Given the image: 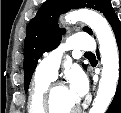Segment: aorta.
I'll return each mask as SVG.
<instances>
[{
	"mask_svg": "<svg viewBox=\"0 0 121 113\" xmlns=\"http://www.w3.org/2000/svg\"><path fill=\"white\" fill-rule=\"evenodd\" d=\"M69 23L85 22L96 34L100 45L102 77L99 90L89 113H105L116 92L119 77L117 44L108 21L95 11L81 9L65 16Z\"/></svg>",
	"mask_w": 121,
	"mask_h": 113,
	"instance_id": "obj_1",
	"label": "aorta"
}]
</instances>
